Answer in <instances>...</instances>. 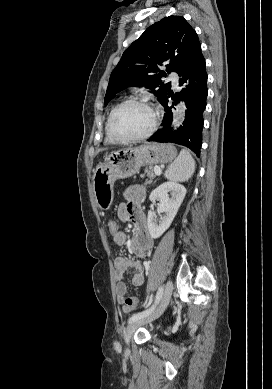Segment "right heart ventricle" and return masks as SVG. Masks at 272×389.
Listing matches in <instances>:
<instances>
[{
  "mask_svg": "<svg viewBox=\"0 0 272 389\" xmlns=\"http://www.w3.org/2000/svg\"><path fill=\"white\" fill-rule=\"evenodd\" d=\"M115 107H116V106H114V107L111 109V111H110V113H109V115H108V117H107L106 123H105V136H106V142H107V143H115V142H116V141L111 137V135H110V133H109V130H108V119H109V116H110L112 110H113Z\"/></svg>",
  "mask_w": 272,
  "mask_h": 389,
  "instance_id": "e07e8e85",
  "label": "right heart ventricle"
}]
</instances>
